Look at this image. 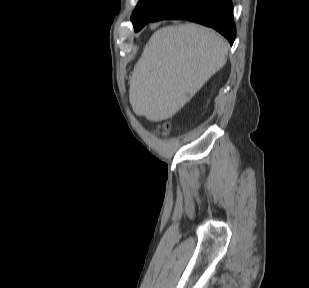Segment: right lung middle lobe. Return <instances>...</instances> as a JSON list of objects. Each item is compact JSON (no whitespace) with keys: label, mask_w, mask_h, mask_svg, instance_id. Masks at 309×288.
<instances>
[{"label":"right lung middle lobe","mask_w":309,"mask_h":288,"mask_svg":"<svg viewBox=\"0 0 309 288\" xmlns=\"http://www.w3.org/2000/svg\"><path fill=\"white\" fill-rule=\"evenodd\" d=\"M177 0H140L132 15L135 32L144 27L161 10L172 5Z\"/></svg>","instance_id":"1"}]
</instances>
